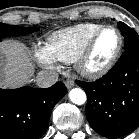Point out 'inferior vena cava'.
I'll use <instances>...</instances> for the list:
<instances>
[{
    "label": "inferior vena cava",
    "mask_w": 139,
    "mask_h": 139,
    "mask_svg": "<svg viewBox=\"0 0 139 139\" xmlns=\"http://www.w3.org/2000/svg\"><path fill=\"white\" fill-rule=\"evenodd\" d=\"M58 81V73L55 71H40L36 77V84L41 88H48Z\"/></svg>",
    "instance_id": "1"
}]
</instances>
